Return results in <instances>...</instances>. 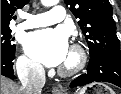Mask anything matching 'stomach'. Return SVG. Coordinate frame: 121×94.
<instances>
[{
  "label": "stomach",
  "mask_w": 121,
  "mask_h": 94,
  "mask_svg": "<svg viewBox=\"0 0 121 94\" xmlns=\"http://www.w3.org/2000/svg\"><path fill=\"white\" fill-rule=\"evenodd\" d=\"M75 94H115V92L103 83H93L83 87Z\"/></svg>",
  "instance_id": "0dacf381"
}]
</instances>
